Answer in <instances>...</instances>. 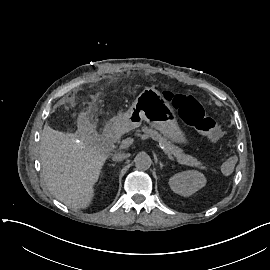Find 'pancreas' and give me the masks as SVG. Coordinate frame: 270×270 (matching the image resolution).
<instances>
[{"label":"pancreas","mask_w":270,"mask_h":270,"mask_svg":"<svg viewBox=\"0 0 270 270\" xmlns=\"http://www.w3.org/2000/svg\"><path fill=\"white\" fill-rule=\"evenodd\" d=\"M142 131L147 134L151 139L157 141L162 146L165 147V153L167 155H172L177 158L179 164L187 165L190 167H196L197 169L207 170L208 168L202 164L201 161H198L196 158L191 155L183 153V151L174 146L171 142L167 141L164 137H162L157 131L149 129L147 127H143Z\"/></svg>","instance_id":"obj_1"}]
</instances>
